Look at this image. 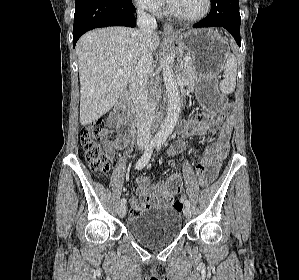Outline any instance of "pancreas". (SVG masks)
<instances>
[{
	"label": "pancreas",
	"mask_w": 299,
	"mask_h": 280,
	"mask_svg": "<svg viewBox=\"0 0 299 280\" xmlns=\"http://www.w3.org/2000/svg\"><path fill=\"white\" fill-rule=\"evenodd\" d=\"M183 77L187 81L190 88H192L195 82L197 81V72L192 60L184 63Z\"/></svg>",
	"instance_id": "pancreas-1"
}]
</instances>
